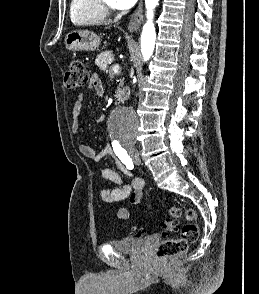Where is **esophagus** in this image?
<instances>
[{
	"label": "esophagus",
	"instance_id": "34e87169",
	"mask_svg": "<svg viewBox=\"0 0 259 294\" xmlns=\"http://www.w3.org/2000/svg\"><path fill=\"white\" fill-rule=\"evenodd\" d=\"M142 11H143V1L140 0L138 8L133 13V15L129 21L128 30L130 32H136L139 30V28L141 26V22L143 20Z\"/></svg>",
	"mask_w": 259,
	"mask_h": 294
}]
</instances>
